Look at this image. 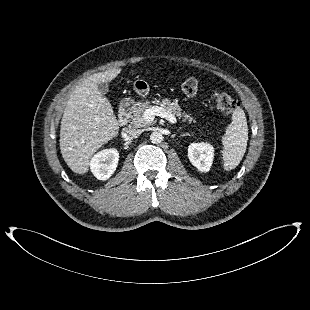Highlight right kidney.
<instances>
[{
	"label": "right kidney",
	"mask_w": 310,
	"mask_h": 310,
	"mask_svg": "<svg viewBox=\"0 0 310 310\" xmlns=\"http://www.w3.org/2000/svg\"><path fill=\"white\" fill-rule=\"evenodd\" d=\"M119 161L116 149H105L96 153L90 161V169L99 180H107L115 172Z\"/></svg>",
	"instance_id": "right-kidney-1"
}]
</instances>
